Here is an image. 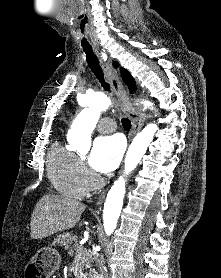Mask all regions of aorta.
Instances as JSON below:
<instances>
[{
    "mask_svg": "<svg viewBox=\"0 0 221 278\" xmlns=\"http://www.w3.org/2000/svg\"><path fill=\"white\" fill-rule=\"evenodd\" d=\"M109 104V99L101 93L88 95L87 107L77 115L69 131V141L79 153L87 152L90 149L91 133L96 127L101 111L106 110ZM144 106L153 109L151 102L145 101ZM157 129V125L151 123L135 136L126 154L125 175H128L138 165ZM125 190L126 180L124 176H120L107 194L103 210V225L107 235H111L116 229Z\"/></svg>",
    "mask_w": 221,
    "mask_h": 278,
    "instance_id": "762f6f07",
    "label": "aorta"
}]
</instances>
